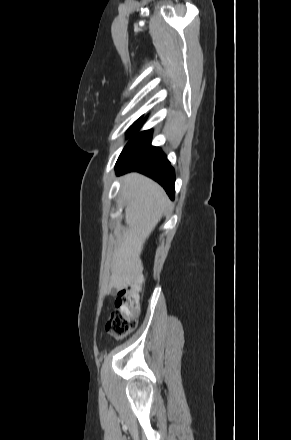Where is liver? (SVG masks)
Here are the masks:
<instances>
[{
  "label": "liver",
  "instance_id": "6515ba94",
  "mask_svg": "<svg viewBox=\"0 0 291 440\" xmlns=\"http://www.w3.org/2000/svg\"><path fill=\"white\" fill-rule=\"evenodd\" d=\"M121 197L125 202V223L114 251L108 293L132 284L143 269L140 255L146 239L161 220L169 199L160 185L139 173L123 177Z\"/></svg>",
  "mask_w": 291,
  "mask_h": 440
}]
</instances>
